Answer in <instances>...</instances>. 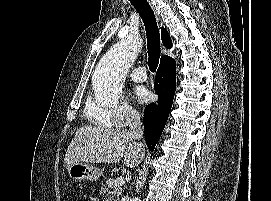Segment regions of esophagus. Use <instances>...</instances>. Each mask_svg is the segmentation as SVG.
Here are the masks:
<instances>
[{"instance_id":"esophagus-1","label":"esophagus","mask_w":271,"mask_h":201,"mask_svg":"<svg viewBox=\"0 0 271 201\" xmlns=\"http://www.w3.org/2000/svg\"><path fill=\"white\" fill-rule=\"evenodd\" d=\"M148 2H149L150 6H151V8H152V10H153V12H154V15H155V18H156V21H157L159 27H161V26L163 25V23H162V20H161L159 14H158L157 11L155 10L153 4L151 3V0H148Z\"/></svg>"}]
</instances>
